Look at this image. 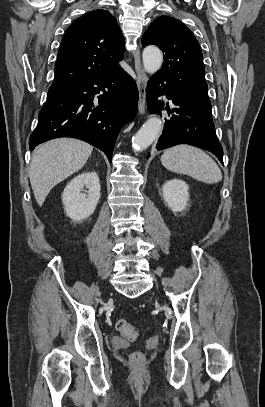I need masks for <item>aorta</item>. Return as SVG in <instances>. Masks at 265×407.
Segmentation results:
<instances>
[{
  "instance_id": "aorta-1",
  "label": "aorta",
  "mask_w": 265,
  "mask_h": 407,
  "mask_svg": "<svg viewBox=\"0 0 265 407\" xmlns=\"http://www.w3.org/2000/svg\"><path fill=\"white\" fill-rule=\"evenodd\" d=\"M163 61L161 51L155 47H147L143 51V66L146 72L153 74L157 72ZM162 128L159 117L148 119L132 139L133 148L142 151L149 147L158 137Z\"/></svg>"
}]
</instances>
